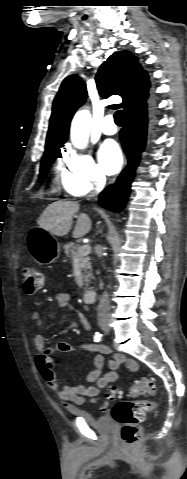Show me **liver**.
<instances>
[{
	"label": "liver",
	"mask_w": 187,
	"mask_h": 479,
	"mask_svg": "<svg viewBox=\"0 0 187 479\" xmlns=\"http://www.w3.org/2000/svg\"><path fill=\"white\" fill-rule=\"evenodd\" d=\"M79 210V203L73 201H56L48 205L37 220L40 228L52 235L65 236L73 224V216ZM91 229V220L85 213L78 216L73 230L74 238L85 236Z\"/></svg>",
	"instance_id": "liver-1"
}]
</instances>
